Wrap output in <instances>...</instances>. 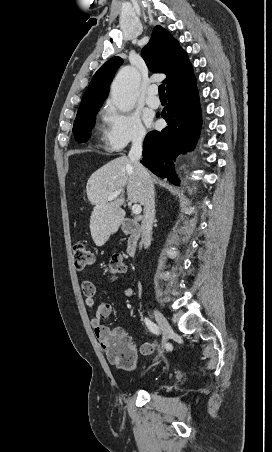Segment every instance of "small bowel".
Listing matches in <instances>:
<instances>
[{
  "label": "small bowel",
  "instance_id": "1",
  "mask_svg": "<svg viewBox=\"0 0 272 452\" xmlns=\"http://www.w3.org/2000/svg\"><path fill=\"white\" fill-rule=\"evenodd\" d=\"M81 287L85 297L86 306L93 309L95 307V296H96L95 285L89 280H84L82 282ZM125 295L128 298H133L134 292L131 288H128L125 291ZM111 313H112V304L109 302H101L96 306L94 314L90 320V324L95 331V335L99 342V345L103 350L106 349V342L109 339V337L126 336V333L122 328L119 327L107 328L102 325V320L110 316ZM156 346L157 341L155 339L145 342L140 347V354L144 356L151 355L155 351Z\"/></svg>",
  "mask_w": 272,
  "mask_h": 452
}]
</instances>
